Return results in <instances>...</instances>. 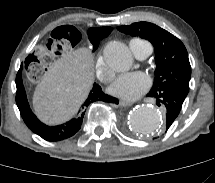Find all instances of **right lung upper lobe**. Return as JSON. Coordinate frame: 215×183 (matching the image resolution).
I'll return each mask as SVG.
<instances>
[{"instance_id":"right-lung-upper-lobe-1","label":"right lung upper lobe","mask_w":215,"mask_h":183,"mask_svg":"<svg viewBox=\"0 0 215 183\" xmlns=\"http://www.w3.org/2000/svg\"><path fill=\"white\" fill-rule=\"evenodd\" d=\"M101 32H103L104 34H106L107 36L109 35V33L112 31V28L110 27H103V28H98Z\"/></svg>"}]
</instances>
